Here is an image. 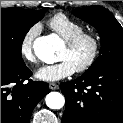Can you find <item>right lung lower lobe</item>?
Listing matches in <instances>:
<instances>
[{
    "label": "right lung lower lobe",
    "mask_w": 123,
    "mask_h": 123,
    "mask_svg": "<svg viewBox=\"0 0 123 123\" xmlns=\"http://www.w3.org/2000/svg\"><path fill=\"white\" fill-rule=\"evenodd\" d=\"M24 65L1 64V123H29L33 109L50 92L45 82L32 81Z\"/></svg>",
    "instance_id": "1"
}]
</instances>
